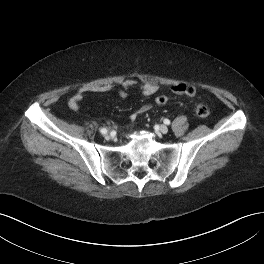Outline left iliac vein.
<instances>
[{
  "label": "left iliac vein",
  "mask_w": 264,
  "mask_h": 264,
  "mask_svg": "<svg viewBox=\"0 0 264 264\" xmlns=\"http://www.w3.org/2000/svg\"><path fill=\"white\" fill-rule=\"evenodd\" d=\"M159 132L166 134L168 132V127L166 125H160Z\"/></svg>",
  "instance_id": "4c4485c4"
}]
</instances>
